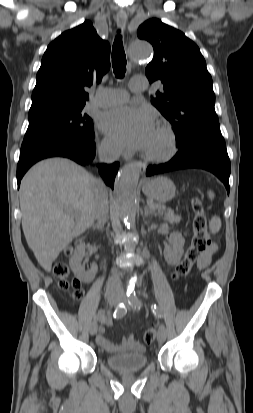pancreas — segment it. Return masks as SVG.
<instances>
[{
	"label": "pancreas",
	"instance_id": "cf45deb5",
	"mask_svg": "<svg viewBox=\"0 0 253 413\" xmlns=\"http://www.w3.org/2000/svg\"><path fill=\"white\" fill-rule=\"evenodd\" d=\"M156 209L158 212L162 215H164V219L168 221L169 223H179L181 220V217L178 215H175L173 210L170 208H166L165 205L163 204H156Z\"/></svg>",
	"mask_w": 253,
	"mask_h": 413
}]
</instances>
